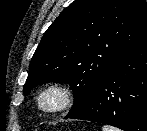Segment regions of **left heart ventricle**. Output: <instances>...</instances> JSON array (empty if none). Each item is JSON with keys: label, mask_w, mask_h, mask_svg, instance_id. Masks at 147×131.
I'll list each match as a JSON object with an SVG mask.
<instances>
[{"label": "left heart ventricle", "mask_w": 147, "mask_h": 131, "mask_svg": "<svg viewBox=\"0 0 147 131\" xmlns=\"http://www.w3.org/2000/svg\"><path fill=\"white\" fill-rule=\"evenodd\" d=\"M56 101H57V99H56L55 96L49 95V96L45 97V99H44V104H45L46 106H53V105L56 104Z\"/></svg>", "instance_id": "1"}]
</instances>
